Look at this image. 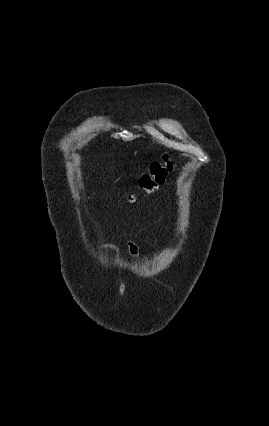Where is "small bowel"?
I'll return each mask as SVG.
<instances>
[{"label":"small bowel","mask_w":269,"mask_h":426,"mask_svg":"<svg viewBox=\"0 0 269 426\" xmlns=\"http://www.w3.org/2000/svg\"><path fill=\"white\" fill-rule=\"evenodd\" d=\"M105 250H108L109 252H111L113 257H117L118 254V249L114 244H105L103 247ZM127 248H128V253L130 256V260L132 263H135L138 257V246L137 244L132 241V240H128L127 241Z\"/></svg>","instance_id":"1"}]
</instances>
